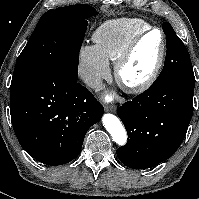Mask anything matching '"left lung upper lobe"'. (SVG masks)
Returning <instances> with one entry per match:
<instances>
[{"instance_id": "1", "label": "left lung upper lobe", "mask_w": 199, "mask_h": 199, "mask_svg": "<svg viewBox=\"0 0 199 199\" xmlns=\"http://www.w3.org/2000/svg\"><path fill=\"white\" fill-rule=\"evenodd\" d=\"M167 51L164 67L151 87L175 80H195L190 55L182 40L176 35L169 22L163 23Z\"/></svg>"}]
</instances>
